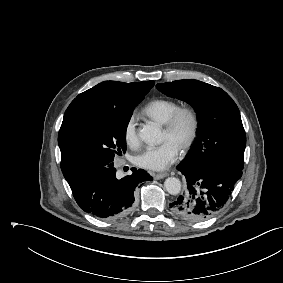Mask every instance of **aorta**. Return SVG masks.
I'll return each mask as SVG.
<instances>
[{"instance_id": "1", "label": "aorta", "mask_w": 283, "mask_h": 283, "mask_svg": "<svg viewBox=\"0 0 283 283\" xmlns=\"http://www.w3.org/2000/svg\"><path fill=\"white\" fill-rule=\"evenodd\" d=\"M140 138L149 145L160 144L163 140L160 126L156 123L144 125L139 130ZM166 191L171 195H177L181 191V182L178 178L169 177L164 182Z\"/></svg>"}]
</instances>
